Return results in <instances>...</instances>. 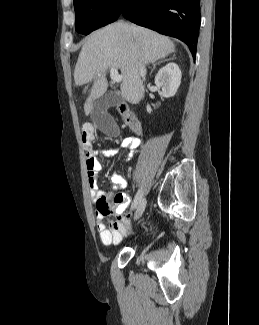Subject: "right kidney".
I'll list each match as a JSON object with an SVG mask.
<instances>
[{
	"mask_svg": "<svg viewBox=\"0 0 259 325\" xmlns=\"http://www.w3.org/2000/svg\"><path fill=\"white\" fill-rule=\"evenodd\" d=\"M181 70L179 66L170 62L162 67L155 76V84L161 88V95L165 98L173 97L181 83ZM150 105H147V112L151 113Z\"/></svg>",
	"mask_w": 259,
	"mask_h": 325,
	"instance_id": "obj_1",
	"label": "right kidney"
}]
</instances>
